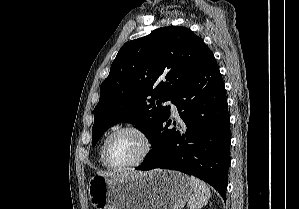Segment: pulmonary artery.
I'll use <instances>...</instances> for the list:
<instances>
[{
  "label": "pulmonary artery",
  "mask_w": 299,
  "mask_h": 209,
  "mask_svg": "<svg viewBox=\"0 0 299 209\" xmlns=\"http://www.w3.org/2000/svg\"><path fill=\"white\" fill-rule=\"evenodd\" d=\"M167 104L170 105L173 115L176 116L178 114L176 105L172 101H168Z\"/></svg>",
  "instance_id": "obj_1"
}]
</instances>
